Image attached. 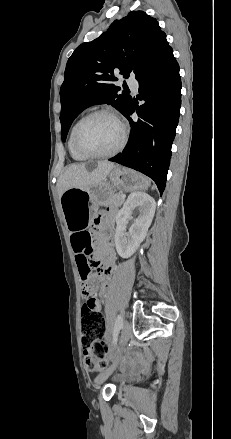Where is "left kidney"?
I'll return each mask as SVG.
<instances>
[{
	"instance_id": "5707ae66",
	"label": "left kidney",
	"mask_w": 231,
	"mask_h": 439,
	"mask_svg": "<svg viewBox=\"0 0 231 439\" xmlns=\"http://www.w3.org/2000/svg\"><path fill=\"white\" fill-rule=\"evenodd\" d=\"M136 207H139V216L126 232L128 219ZM155 208V200L144 192H133L128 196L116 216L115 245L119 256L129 258L138 249L152 223Z\"/></svg>"
}]
</instances>
